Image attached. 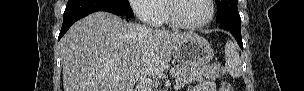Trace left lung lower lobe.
<instances>
[{
    "label": "left lung lower lobe",
    "mask_w": 304,
    "mask_h": 91,
    "mask_svg": "<svg viewBox=\"0 0 304 91\" xmlns=\"http://www.w3.org/2000/svg\"><path fill=\"white\" fill-rule=\"evenodd\" d=\"M240 24H241L240 16H235V17L229 18L227 20H224V21L218 23L220 28H224V29L230 31V33L233 34V36L236 39L238 45L243 50Z\"/></svg>",
    "instance_id": "obj_1"
}]
</instances>
